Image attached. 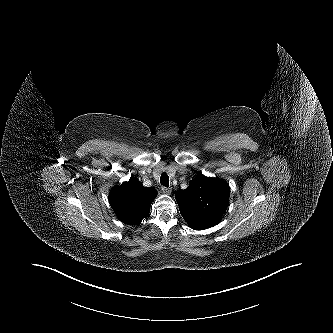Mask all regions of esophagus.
Returning a JSON list of instances; mask_svg holds the SVG:
<instances>
[{
  "label": "esophagus",
  "instance_id": "1",
  "mask_svg": "<svg viewBox=\"0 0 333 333\" xmlns=\"http://www.w3.org/2000/svg\"><path fill=\"white\" fill-rule=\"evenodd\" d=\"M171 191H172V189L169 188V187H165V186L162 187V192H163L164 194L169 195V194H171Z\"/></svg>",
  "mask_w": 333,
  "mask_h": 333
}]
</instances>
